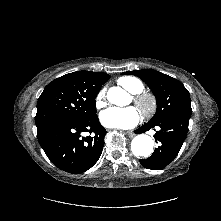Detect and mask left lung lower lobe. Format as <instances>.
Listing matches in <instances>:
<instances>
[{
	"label": "left lung lower lobe",
	"instance_id": "1",
	"mask_svg": "<svg viewBox=\"0 0 221 221\" xmlns=\"http://www.w3.org/2000/svg\"><path fill=\"white\" fill-rule=\"evenodd\" d=\"M189 119L172 117L156 124L146 123L135 130V133H143L152 128H159L155 138L160 142V146L155 148L149 158L141 159V165L151 170L162 169L169 165L178 155L186 138Z\"/></svg>",
	"mask_w": 221,
	"mask_h": 221
}]
</instances>
